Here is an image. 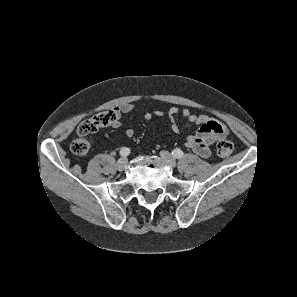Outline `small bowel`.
Instances as JSON below:
<instances>
[{"label": "small bowel", "mask_w": 297, "mask_h": 297, "mask_svg": "<svg viewBox=\"0 0 297 297\" xmlns=\"http://www.w3.org/2000/svg\"><path fill=\"white\" fill-rule=\"evenodd\" d=\"M135 109L133 104H124L118 108L116 111L118 113V119L112 124L114 128L121 127V122L119 120V116L123 114H128ZM179 114V109L176 107H171L167 111V116L170 121V127L173 132L179 133L181 127L176 120L177 115ZM181 115L186 119V123H194L199 127L195 134L188 135L186 137V146L193 150L196 154L201 157L207 158L211 154V145L223 138L226 135V129L224 126L211 119L209 116L204 114H193L189 109H183L181 111ZM163 113L160 110H155L153 112L145 113L146 120H152L153 117H162ZM134 130L132 128H128L125 131V135L128 138H132L134 136Z\"/></svg>", "instance_id": "c3829d8e"}]
</instances>
